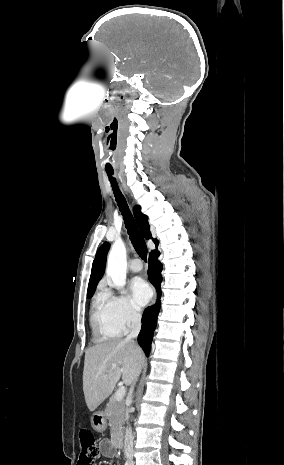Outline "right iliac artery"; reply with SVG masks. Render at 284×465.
Masks as SVG:
<instances>
[{"instance_id":"right-iliac-artery-1","label":"right iliac artery","mask_w":284,"mask_h":465,"mask_svg":"<svg viewBox=\"0 0 284 465\" xmlns=\"http://www.w3.org/2000/svg\"><path fill=\"white\" fill-rule=\"evenodd\" d=\"M125 465H129V463H128V462H126V463H125Z\"/></svg>"}]
</instances>
